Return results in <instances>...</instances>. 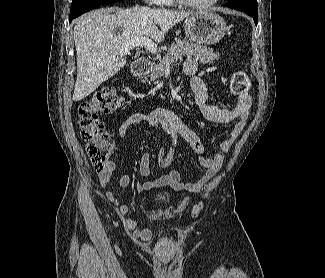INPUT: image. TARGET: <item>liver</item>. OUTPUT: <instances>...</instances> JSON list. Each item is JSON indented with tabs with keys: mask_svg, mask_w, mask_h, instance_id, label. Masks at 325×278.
Masks as SVG:
<instances>
[{
	"mask_svg": "<svg viewBox=\"0 0 325 278\" xmlns=\"http://www.w3.org/2000/svg\"><path fill=\"white\" fill-rule=\"evenodd\" d=\"M192 12L136 6L108 8L84 15L74 26L77 79L73 100L80 101L114 76L126 64L122 46L134 38L160 42L177 23ZM115 29H120L116 33Z\"/></svg>",
	"mask_w": 325,
	"mask_h": 278,
	"instance_id": "obj_1",
	"label": "liver"
}]
</instances>
